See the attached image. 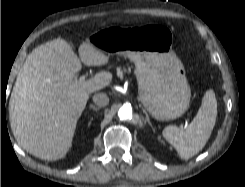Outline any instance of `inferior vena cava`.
Returning a JSON list of instances; mask_svg holds the SVG:
<instances>
[{
  "instance_id": "602c4592",
  "label": "inferior vena cava",
  "mask_w": 245,
  "mask_h": 187,
  "mask_svg": "<svg viewBox=\"0 0 245 187\" xmlns=\"http://www.w3.org/2000/svg\"><path fill=\"white\" fill-rule=\"evenodd\" d=\"M93 102L97 106L103 107L109 103V97L104 93H96L93 95Z\"/></svg>"
}]
</instances>
